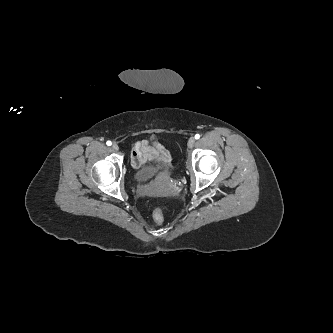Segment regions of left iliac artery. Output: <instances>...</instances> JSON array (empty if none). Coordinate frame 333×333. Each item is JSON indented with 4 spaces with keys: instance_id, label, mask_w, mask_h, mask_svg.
Instances as JSON below:
<instances>
[{
    "instance_id": "obj_1",
    "label": "left iliac artery",
    "mask_w": 333,
    "mask_h": 333,
    "mask_svg": "<svg viewBox=\"0 0 333 333\" xmlns=\"http://www.w3.org/2000/svg\"><path fill=\"white\" fill-rule=\"evenodd\" d=\"M200 138V135L199 134H196L195 135V139H199Z\"/></svg>"
}]
</instances>
